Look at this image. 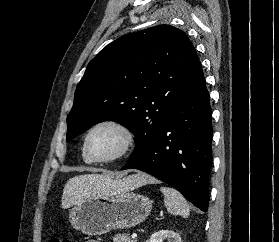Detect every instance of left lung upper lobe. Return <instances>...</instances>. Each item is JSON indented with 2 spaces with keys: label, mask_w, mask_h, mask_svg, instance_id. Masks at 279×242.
I'll return each instance as SVG.
<instances>
[{
  "label": "left lung upper lobe",
  "mask_w": 279,
  "mask_h": 242,
  "mask_svg": "<svg viewBox=\"0 0 279 242\" xmlns=\"http://www.w3.org/2000/svg\"><path fill=\"white\" fill-rule=\"evenodd\" d=\"M199 61L187 35L158 25L125 35L93 58L67 116L66 140L103 121L136 136L130 159L142 155L165 126Z\"/></svg>",
  "instance_id": "5c2ea615"
}]
</instances>
